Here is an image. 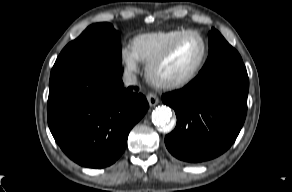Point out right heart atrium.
I'll use <instances>...</instances> for the list:
<instances>
[{"label":"right heart atrium","instance_id":"1","mask_svg":"<svg viewBox=\"0 0 292 192\" xmlns=\"http://www.w3.org/2000/svg\"><path fill=\"white\" fill-rule=\"evenodd\" d=\"M121 60L127 72L134 73L138 71L139 60L136 57L131 46H124L121 49Z\"/></svg>","mask_w":292,"mask_h":192}]
</instances>
